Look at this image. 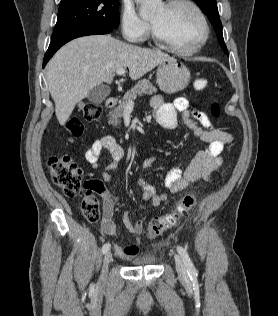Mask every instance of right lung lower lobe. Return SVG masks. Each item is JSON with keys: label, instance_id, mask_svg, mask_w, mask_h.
Instances as JSON below:
<instances>
[{"label": "right lung lower lobe", "instance_id": "1", "mask_svg": "<svg viewBox=\"0 0 278 316\" xmlns=\"http://www.w3.org/2000/svg\"><path fill=\"white\" fill-rule=\"evenodd\" d=\"M112 29L113 28H110V27L90 28V29L73 32L59 39L52 40L45 54L43 67L46 65L49 59L53 56V54L68 41L75 39L77 37H81V36L106 34V33L111 32Z\"/></svg>", "mask_w": 278, "mask_h": 316}]
</instances>
